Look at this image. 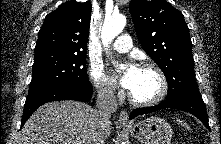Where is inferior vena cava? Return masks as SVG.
Listing matches in <instances>:
<instances>
[{"mask_svg":"<svg viewBox=\"0 0 221 144\" xmlns=\"http://www.w3.org/2000/svg\"><path fill=\"white\" fill-rule=\"evenodd\" d=\"M117 100L112 86L103 84L97 88L96 100V139L94 144H104L105 136L103 127L110 121L111 114L117 110Z\"/></svg>","mask_w":221,"mask_h":144,"instance_id":"602c4592","label":"inferior vena cava"}]
</instances>
